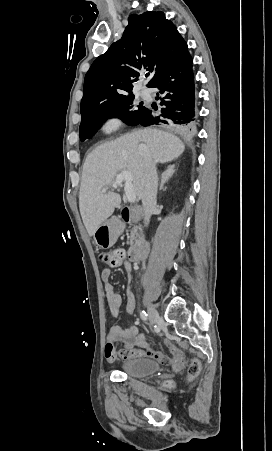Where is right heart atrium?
Segmentation results:
<instances>
[{"mask_svg":"<svg viewBox=\"0 0 272 451\" xmlns=\"http://www.w3.org/2000/svg\"><path fill=\"white\" fill-rule=\"evenodd\" d=\"M113 125V123H110L109 125H108V127H111Z\"/></svg>","mask_w":272,"mask_h":451,"instance_id":"right-heart-atrium-1","label":"right heart atrium"}]
</instances>
